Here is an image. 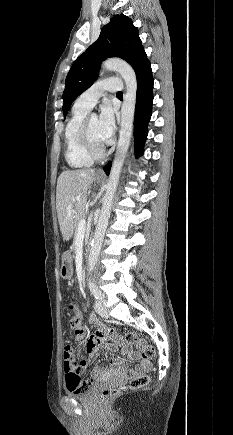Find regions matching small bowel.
Returning <instances> with one entry per match:
<instances>
[{
  "mask_svg": "<svg viewBox=\"0 0 233 435\" xmlns=\"http://www.w3.org/2000/svg\"><path fill=\"white\" fill-rule=\"evenodd\" d=\"M75 313L78 317L81 316V312L79 309L75 308ZM89 322L97 327V330L95 333L90 336L85 344L86 351L91 355L94 356L99 349L101 348L102 344L106 342L109 336V330L108 328L100 321V319L95 315L94 313L90 314L89 316ZM85 339V331L81 329L76 335H75V341H84ZM110 350L113 349V347H109ZM122 354L130 357L133 361L137 362L136 370H142L144 368V364L141 362L140 357L138 354H136L133 349L128 345H121L120 346ZM76 359V356L67 359L64 364V373H65V384L68 385L67 377L70 374H76L80 375L90 364V359H83L79 362L78 367H74L72 365L71 360ZM124 368V365L117 361L116 359H113L108 366H98L95 365L92 368L91 377L88 379V381L94 380L99 376L105 375L107 372H117L121 371Z\"/></svg>",
  "mask_w": 233,
  "mask_h": 435,
  "instance_id": "c3829d8e",
  "label": "small bowel"
}]
</instances>
